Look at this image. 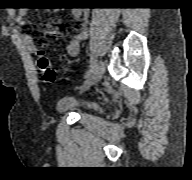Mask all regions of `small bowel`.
<instances>
[{
  "label": "small bowel",
  "instance_id": "small-bowel-1",
  "mask_svg": "<svg viewBox=\"0 0 192 180\" xmlns=\"http://www.w3.org/2000/svg\"><path fill=\"white\" fill-rule=\"evenodd\" d=\"M27 15L28 12L26 9H20L16 16V21L19 25H25L27 23ZM72 16L75 20L79 19L80 17L84 18V23L80 30L71 38L70 42L66 46L67 53L72 56L76 57L80 52V46L83 41L88 38L89 32L86 26L88 12L83 11L80 8H73L72 9ZM22 41L24 45L27 47L28 50L34 51L36 49L34 40L32 36L28 33H24L22 35Z\"/></svg>",
  "mask_w": 192,
  "mask_h": 180
}]
</instances>
